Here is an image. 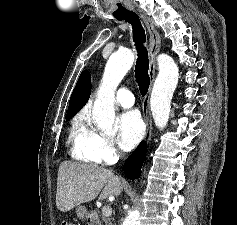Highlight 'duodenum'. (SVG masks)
I'll return each instance as SVG.
<instances>
[{
	"label": "duodenum",
	"mask_w": 237,
	"mask_h": 225,
	"mask_svg": "<svg viewBox=\"0 0 237 225\" xmlns=\"http://www.w3.org/2000/svg\"><path fill=\"white\" fill-rule=\"evenodd\" d=\"M92 225H100L99 221L97 219L92 220Z\"/></svg>",
	"instance_id": "obj_1"
}]
</instances>
